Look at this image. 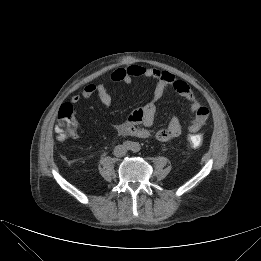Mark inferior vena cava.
I'll return each mask as SVG.
<instances>
[{"mask_svg": "<svg viewBox=\"0 0 261 261\" xmlns=\"http://www.w3.org/2000/svg\"><path fill=\"white\" fill-rule=\"evenodd\" d=\"M126 152H127V149L124 146H122V145H118L114 149V155L116 157L125 156Z\"/></svg>", "mask_w": 261, "mask_h": 261, "instance_id": "obj_1", "label": "inferior vena cava"}]
</instances>
